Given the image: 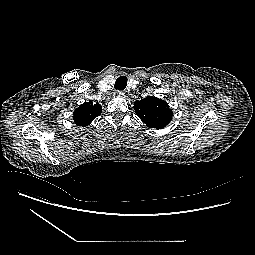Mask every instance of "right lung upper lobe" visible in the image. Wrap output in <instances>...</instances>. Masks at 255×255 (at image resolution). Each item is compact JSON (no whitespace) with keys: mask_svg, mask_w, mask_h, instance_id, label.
Segmentation results:
<instances>
[{"mask_svg":"<svg viewBox=\"0 0 255 255\" xmlns=\"http://www.w3.org/2000/svg\"><path fill=\"white\" fill-rule=\"evenodd\" d=\"M100 104L85 102L74 111V121L78 126H88L96 117L101 114Z\"/></svg>","mask_w":255,"mask_h":255,"instance_id":"1","label":"right lung upper lobe"}]
</instances>
